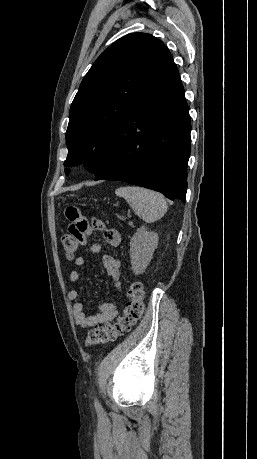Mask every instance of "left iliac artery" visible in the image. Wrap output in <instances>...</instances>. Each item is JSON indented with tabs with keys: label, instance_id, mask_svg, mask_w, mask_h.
I'll list each match as a JSON object with an SVG mask.
<instances>
[{
	"label": "left iliac artery",
	"instance_id": "left-iliac-artery-1",
	"mask_svg": "<svg viewBox=\"0 0 257 459\" xmlns=\"http://www.w3.org/2000/svg\"><path fill=\"white\" fill-rule=\"evenodd\" d=\"M95 408H96V411L98 413H102L103 412V408H102L101 404L99 403V401L97 399H95Z\"/></svg>",
	"mask_w": 257,
	"mask_h": 459
}]
</instances>
